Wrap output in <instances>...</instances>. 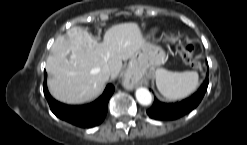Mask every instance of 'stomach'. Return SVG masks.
I'll return each instance as SVG.
<instances>
[{"label":"stomach","mask_w":247,"mask_h":145,"mask_svg":"<svg viewBox=\"0 0 247 145\" xmlns=\"http://www.w3.org/2000/svg\"><path fill=\"white\" fill-rule=\"evenodd\" d=\"M167 61L165 51L156 45H148L136 52L129 61L128 70L135 75L144 74Z\"/></svg>","instance_id":"obj_1"}]
</instances>
